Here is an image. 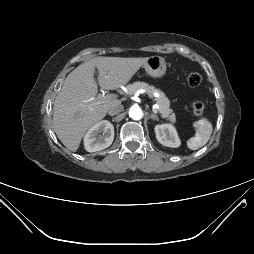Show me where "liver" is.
<instances>
[{"label":"liver","instance_id":"obj_1","mask_svg":"<svg viewBox=\"0 0 254 254\" xmlns=\"http://www.w3.org/2000/svg\"><path fill=\"white\" fill-rule=\"evenodd\" d=\"M147 59L95 57L68 74L53 106V128L65 147L76 151L86 131L102 120L112 105L121 103L120 100L93 103L98 92L95 68L100 87L114 90L127 84Z\"/></svg>","mask_w":254,"mask_h":254}]
</instances>
